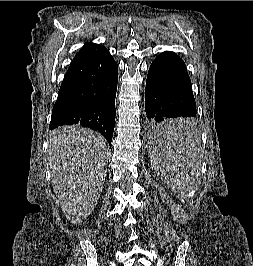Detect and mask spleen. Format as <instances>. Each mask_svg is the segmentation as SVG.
I'll return each mask as SVG.
<instances>
[{
  "label": "spleen",
  "mask_w": 253,
  "mask_h": 266,
  "mask_svg": "<svg viewBox=\"0 0 253 266\" xmlns=\"http://www.w3.org/2000/svg\"><path fill=\"white\" fill-rule=\"evenodd\" d=\"M167 122L152 123L147 151L157 174H164L166 182L183 198L199 182L198 166L194 165V130L183 117H169Z\"/></svg>",
  "instance_id": "obj_1"
}]
</instances>
